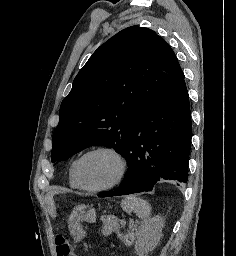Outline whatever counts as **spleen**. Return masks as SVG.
I'll list each match as a JSON object with an SVG mask.
<instances>
[{
	"label": "spleen",
	"mask_w": 236,
	"mask_h": 256,
	"mask_svg": "<svg viewBox=\"0 0 236 256\" xmlns=\"http://www.w3.org/2000/svg\"><path fill=\"white\" fill-rule=\"evenodd\" d=\"M122 210L124 212H135L136 216L139 218H147L151 208L148 202L145 200H141V198H136V196H128L126 200H122L120 204Z\"/></svg>",
	"instance_id": "obj_1"
}]
</instances>
